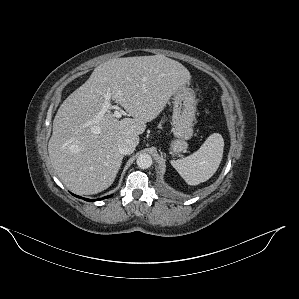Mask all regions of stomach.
I'll use <instances>...</instances> for the list:
<instances>
[{
    "instance_id": "stomach-1",
    "label": "stomach",
    "mask_w": 299,
    "mask_h": 299,
    "mask_svg": "<svg viewBox=\"0 0 299 299\" xmlns=\"http://www.w3.org/2000/svg\"><path fill=\"white\" fill-rule=\"evenodd\" d=\"M196 98L192 89L184 86L173 95V114L170 142L172 154H180L187 150V140L193 136V125L196 114Z\"/></svg>"
}]
</instances>
